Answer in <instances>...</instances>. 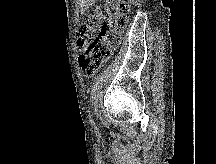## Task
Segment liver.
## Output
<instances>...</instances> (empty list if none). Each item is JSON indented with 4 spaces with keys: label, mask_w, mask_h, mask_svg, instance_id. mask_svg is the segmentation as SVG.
I'll return each mask as SVG.
<instances>
[{
    "label": "liver",
    "mask_w": 216,
    "mask_h": 164,
    "mask_svg": "<svg viewBox=\"0 0 216 164\" xmlns=\"http://www.w3.org/2000/svg\"><path fill=\"white\" fill-rule=\"evenodd\" d=\"M82 2L86 3L83 6L85 7L84 9H87L90 5L95 3L97 0H81Z\"/></svg>",
    "instance_id": "1"
}]
</instances>
